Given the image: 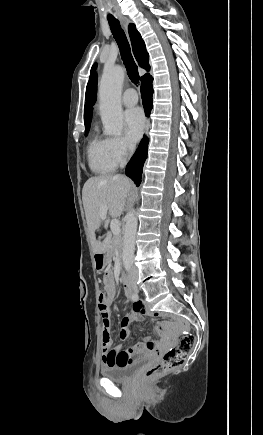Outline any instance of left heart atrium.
Returning <instances> with one entry per match:
<instances>
[{
	"label": "left heart atrium",
	"instance_id": "obj_1",
	"mask_svg": "<svg viewBox=\"0 0 263 435\" xmlns=\"http://www.w3.org/2000/svg\"><path fill=\"white\" fill-rule=\"evenodd\" d=\"M125 133L132 143L137 142L145 128V118L140 108H131L124 115Z\"/></svg>",
	"mask_w": 263,
	"mask_h": 435
}]
</instances>
